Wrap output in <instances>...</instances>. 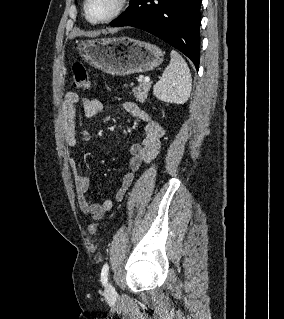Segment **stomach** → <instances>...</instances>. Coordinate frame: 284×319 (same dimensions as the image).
<instances>
[{
    "mask_svg": "<svg viewBox=\"0 0 284 319\" xmlns=\"http://www.w3.org/2000/svg\"><path fill=\"white\" fill-rule=\"evenodd\" d=\"M79 53L93 67L116 76L154 70L164 56L159 47L130 37L82 41Z\"/></svg>",
    "mask_w": 284,
    "mask_h": 319,
    "instance_id": "stomach-1",
    "label": "stomach"
}]
</instances>
